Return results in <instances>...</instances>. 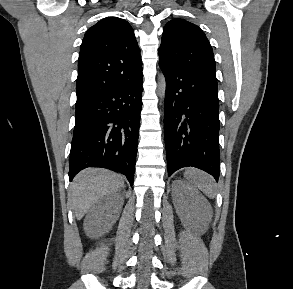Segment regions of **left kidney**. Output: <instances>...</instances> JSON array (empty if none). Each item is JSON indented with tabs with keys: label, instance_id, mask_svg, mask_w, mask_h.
Masks as SVG:
<instances>
[{
	"label": "left kidney",
	"instance_id": "5707ae66",
	"mask_svg": "<svg viewBox=\"0 0 293 289\" xmlns=\"http://www.w3.org/2000/svg\"><path fill=\"white\" fill-rule=\"evenodd\" d=\"M172 191L173 203L181 221L184 223L191 221L198 230L207 227L212 217V208L208 200L183 180H175Z\"/></svg>",
	"mask_w": 293,
	"mask_h": 289
}]
</instances>
